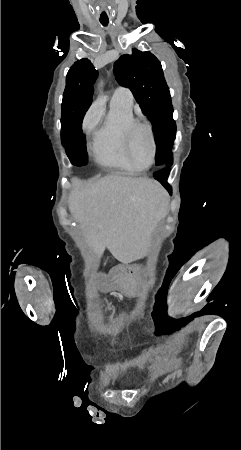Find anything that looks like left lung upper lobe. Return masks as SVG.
I'll use <instances>...</instances> for the list:
<instances>
[{
    "mask_svg": "<svg viewBox=\"0 0 241 450\" xmlns=\"http://www.w3.org/2000/svg\"><path fill=\"white\" fill-rule=\"evenodd\" d=\"M116 80L129 88L143 113L153 125L157 165L172 161V145L176 134L173 107L161 63L151 52L133 49L114 63Z\"/></svg>",
    "mask_w": 241,
    "mask_h": 450,
    "instance_id": "left-lung-upper-lobe-1",
    "label": "left lung upper lobe"
}]
</instances>
